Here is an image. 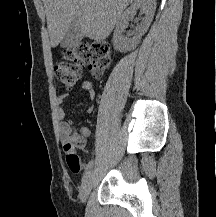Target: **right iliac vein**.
I'll return each mask as SVG.
<instances>
[{
  "label": "right iliac vein",
  "mask_w": 216,
  "mask_h": 217,
  "mask_svg": "<svg viewBox=\"0 0 216 217\" xmlns=\"http://www.w3.org/2000/svg\"><path fill=\"white\" fill-rule=\"evenodd\" d=\"M93 183V174L90 172L83 180L80 188V199L84 203L91 191Z\"/></svg>",
  "instance_id": "1"
}]
</instances>
